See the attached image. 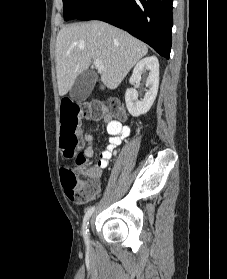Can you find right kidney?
<instances>
[{
	"instance_id": "ca27d5eb",
	"label": "right kidney",
	"mask_w": 227,
	"mask_h": 279,
	"mask_svg": "<svg viewBox=\"0 0 227 279\" xmlns=\"http://www.w3.org/2000/svg\"><path fill=\"white\" fill-rule=\"evenodd\" d=\"M144 71H149L146 80V87L148 90L144 99L142 101L138 100V92L136 89H127L125 93L127 109L134 117L146 114L156 99L159 86V62L157 57L149 56L140 60L133 69V73L129 80L130 84L133 85L139 83L141 80V74Z\"/></svg>"
}]
</instances>
